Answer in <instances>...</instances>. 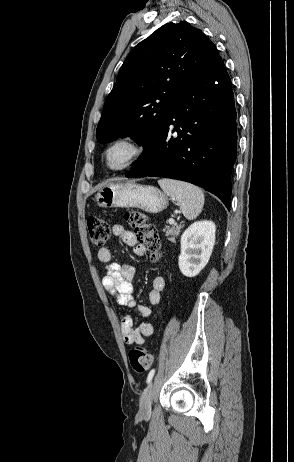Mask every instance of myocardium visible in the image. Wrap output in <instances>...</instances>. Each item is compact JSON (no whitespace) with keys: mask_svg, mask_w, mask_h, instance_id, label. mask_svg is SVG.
Returning <instances> with one entry per match:
<instances>
[{"mask_svg":"<svg viewBox=\"0 0 294 462\" xmlns=\"http://www.w3.org/2000/svg\"><path fill=\"white\" fill-rule=\"evenodd\" d=\"M118 145L128 146L131 150V153L122 164L113 166L109 163V154ZM147 150V145L140 136L133 133L122 134L114 138L104 147L102 152V163L104 167L109 171H123L131 168L137 162H139L146 155Z\"/></svg>","mask_w":294,"mask_h":462,"instance_id":"f54148a6","label":"myocardium"}]
</instances>
